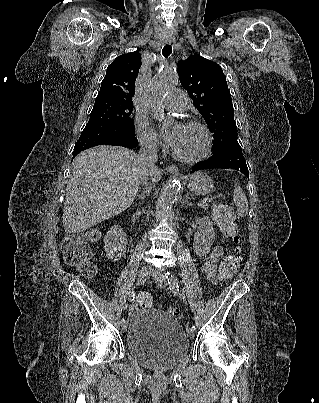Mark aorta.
<instances>
[{"label":"aorta","instance_id":"1","mask_svg":"<svg viewBox=\"0 0 319 403\" xmlns=\"http://www.w3.org/2000/svg\"><path fill=\"white\" fill-rule=\"evenodd\" d=\"M178 83L176 75L166 69L160 70L151 80L148 87L151 114L154 119L164 120V108L160 104L161 98ZM181 185L178 181L170 183L163 192L162 206L169 210L180 193Z\"/></svg>","mask_w":319,"mask_h":403}]
</instances>
